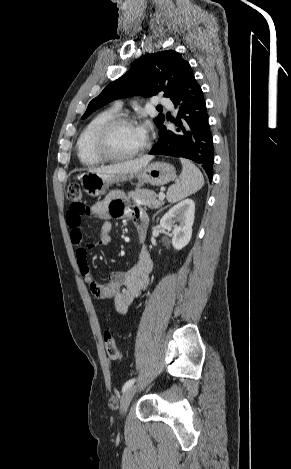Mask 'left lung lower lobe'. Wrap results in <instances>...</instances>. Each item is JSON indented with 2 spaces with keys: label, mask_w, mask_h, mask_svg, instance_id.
<instances>
[{
  "label": "left lung lower lobe",
  "mask_w": 291,
  "mask_h": 469,
  "mask_svg": "<svg viewBox=\"0 0 291 469\" xmlns=\"http://www.w3.org/2000/svg\"><path fill=\"white\" fill-rule=\"evenodd\" d=\"M178 108L176 130L169 131L164 125L159 127V140L149 154H162L183 157L198 163L208 175L213 177L214 147L208 122V114L200 85L195 80L191 67L183 81L170 97Z\"/></svg>",
  "instance_id": "1"
}]
</instances>
